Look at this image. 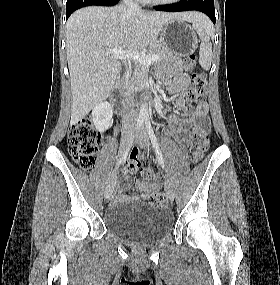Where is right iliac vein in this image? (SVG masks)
Returning a JSON list of instances; mask_svg holds the SVG:
<instances>
[{"label":"right iliac vein","mask_w":280,"mask_h":285,"mask_svg":"<svg viewBox=\"0 0 280 285\" xmlns=\"http://www.w3.org/2000/svg\"><path fill=\"white\" fill-rule=\"evenodd\" d=\"M131 136H132V133L131 132H126L122 135V139H121V148L122 149H125L131 139ZM116 180H117V173L114 172L109 181H108V184L106 186V189H105V194H104V197L105 199H109L110 196L112 195V192L114 190V187H115V184H116Z\"/></svg>","instance_id":"right-iliac-vein-1"}]
</instances>
